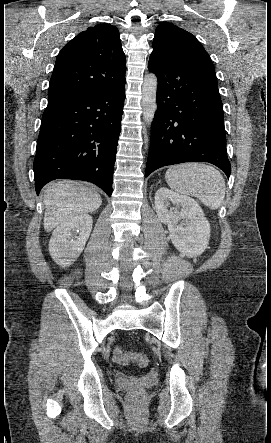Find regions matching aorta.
Instances as JSON below:
<instances>
[{
	"mask_svg": "<svg viewBox=\"0 0 271 443\" xmlns=\"http://www.w3.org/2000/svg\"><path fill=\"white\" fill-rule=\"evenodd\" d=\"M158 80L155 74H147L142 84V110L146 126H151L157 110L156 94Z\"/></svg>",
	"mask_w": 271,
	"mask_h": 443,
	"instance_id": "1",
	"label": "aorta"
}]
</instances>
